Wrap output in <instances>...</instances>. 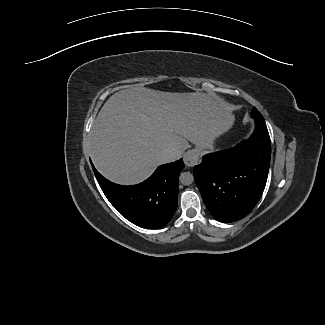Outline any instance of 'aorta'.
<instances>
[{
  "label": "aorta",
  "instance_id": "1",
  "mask_svg": "<svg viewBox=\"0 0 325 325\" xmlns=\"http://www.w3.org/2000/svg\"><path fill=\"white\" fill-rule=\"evenodd\" d=\"M179 181L183 185L188 186V185L192 184L194 181L193 174H191L190 172H183L180 174Z\"/></svg>",
  "mask_w": 325,
  "mask_h": 325
}]
</instances>
